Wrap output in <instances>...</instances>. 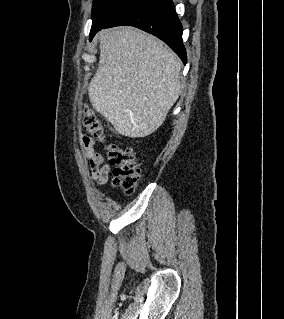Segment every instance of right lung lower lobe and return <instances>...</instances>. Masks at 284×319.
<instances>
[{
	"instance_id": "1",
	"label": "right lung lower lobe",
	"mask_w": 284,
	"mask_h": 319,
	"mask_svg": "<svg viewBox=\"0 0 284 319\" xmlns=\"http://www.w3.org/2000/svg\"><path fill=\"white\" fill-rule=\"evenodd\" d=\"M121 25L135 26L155 35L171 47L186 64V50L182 43L183 29L172 0H136L102 28ZM102 28L93 32L90 40Z\"/></svg>"
}]
</instances>
